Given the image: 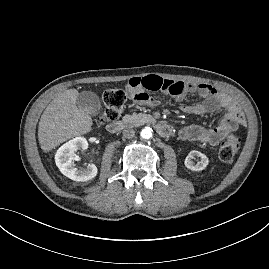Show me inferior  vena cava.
<instances>
[{
  "label": "inferior vena cava",
  "mask_w": 269,
  "mask_h": 269,
  "mask_svg": "<svg viewBox=\"0 0 269 269\" xmlns=\"http://www.w3.org/2000/svg\"><path fill=\"white\" fill-rule=\"evenodd\" d=\"M123 136L125 138H132L135 136V131L131 127H127L123 130Z\"/></svg>",
  "instance_id": "1"
}]
</instances>
